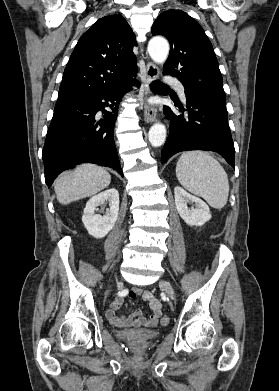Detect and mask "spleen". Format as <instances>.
<instances>
[{"label":"spleen","instance_id":"1","mask_svg":"<svg viewBox=\"0 0 279 391\" xmlns=\"http://www.w3.org/2000/svg\"><path fill=\"white\" fill-rule=\"evenodd\" d=\"M176 177L191 193L222 209L228 200L229 181L221 164L208 152H184L176 165Z\"/></svg>","mask_w":279,"mask_h":391}]
</instances>
